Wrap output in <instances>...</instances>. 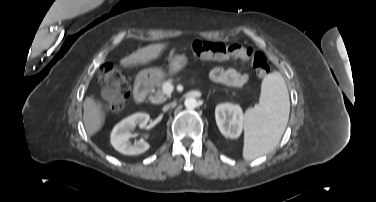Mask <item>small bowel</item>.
<instances>
[{
	"label": "small bowel",
	"instance_id": "1",
	"mask_svg": "<svg viewBox=\"0 0 376 202\" xmlns=\"http://www.w3.org/2000/svg\"><path fill=\"white\" fill-rule=\"evenodd\" d=\"M210 78L214 82L237 87L245 84L249 77L246 73H240L232 68L215 67L210 71Z\"/></svg>",
	"mask_w": 376,
	"mask_h": 202
}]
</instances>
